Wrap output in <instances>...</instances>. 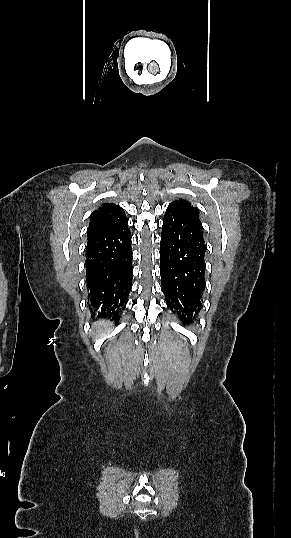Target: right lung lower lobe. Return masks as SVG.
<instances>
[{
  "instance_id": "1",
  "label": "right lung lower lobe",
  "mask_w": 291,
  "mask_h": 538,
  "mask_svg": "<svg viewBox=\"0 0 291 538\" xmlns=\"http://www.w3.org/2000/svg\"><path fill=\"white\" fill-rule=\"evenodd\" d=\"M127 223L88 236L86 285L89 307L99 317L118 319L132 288L133 258Z\"/></svg>"
}]
</instances>
